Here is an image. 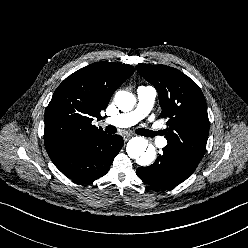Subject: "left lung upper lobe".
I'll return each mask as SVG.
<instances>
[{"label":"left lung upper lobe","mask_w":248,"mask_h":248,"mask_svg":"<svg viewBox=\"0 0 248 248\" xmlns=\"http://www.w3.org/2000/svg\"><path fill=\"white\" fill-rule=\"evenodd\" d=\"M139 74L155 86L161 117H168L165 147L193 167L202 159L209 132L205 97L181 71L165 65L138 64Z\"/></svg>","instance_id":"left-lung-upper-lobe-1"}]
</instances>
